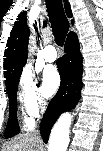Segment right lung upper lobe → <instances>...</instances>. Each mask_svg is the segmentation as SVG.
<instances>
[{
  "label": "right lung upper lobe",
  "instance_id": "1",
  "mask_svg": "<svg viewBox=\"0 0 103 151\" xmlns=\"http://www.w3.org/2000/svg\"><path fill=\"white\" fill-rule=\"evenodd\" d=\"M65 2V10L68 17H71L70 6ZM26 11L19 14L17 21L10 33L7 41V49L4 55V77L6 85L19 79L23 66L27 59V44L29 38V28L26 24Z\"/></svg>",
  "mask_w": 103,
  "mask_h": 151
}]
</instances>
